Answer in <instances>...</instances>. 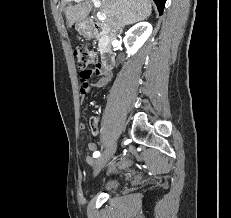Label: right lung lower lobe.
<instances>
[{
  "label": "right lung lower lobe",
  "instance_id": "obj_1",
  "mask_svg": "<svg viewBox=\"0 0 231 218\" xmlns=\"http://www.w3.org/2000/svg\"><path fill=\"white\" fill-rule=\"evenodd\" d=\"M154 2L158 8L159 14L161 15L163 12L166 0H154Z\"/></svg>",
  "mask_w": 231,
  "mask_h": 218
}]
</instances>
